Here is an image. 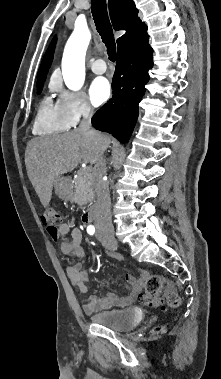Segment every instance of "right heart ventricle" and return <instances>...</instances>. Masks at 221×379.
I'll return each instance as SVG.
<instances>
[{
    "label": "right heart ventricle",
    "instance_id": "right-heart-ventricle-1",
    "mask_svg": "<svg viewBox=\"0 0 221 379\" xmlns=\"http://www.w3.org/2000/svg\"><path fill=\"white\" fill-rule=\"evenodd\" d=\"M57 102L50 96H45L38 104L33 122V131L37 135H50L67 131L71 128Z\"/></svg>",
    "mask_w": 221,
    "mask_h": 379
}]
</instances>
